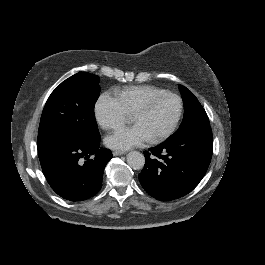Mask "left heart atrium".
Returning <instances> with one entry per match:
<instances>
[{"instance_id":"left-heart-atrium-1","label":"left heart atrium","mask_w":265,"mask_h":265,"mask_svg":"<svg viewBox=\"0 0 265 265\" xmlns=\"http://www.w3.org/2000/svg\"><path fill=\"white\" fill-rule=\"evenodd\" d=\"M149 140V135L141 125L120 129L105 139L107 146L115 150H127Z\"/></svg>"}]
</instances>
